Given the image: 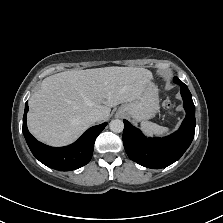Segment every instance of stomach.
<instances>
[{"label": "stomach", "instance_id": "stomach-1", "mask_svg": "<svg viewBox=\"0 0 223 223\" xmlns=\"http://www.w3.org/2000/svg\"><path fill=\"white\" fill-rule=\"evenodd\" d=\"M159 110V98L157 86L150 82L146 85L139 98L121 105L117 115L131 117L135 121H145L155 116Z\"/></svg>", "mask_w": 223, "mask_h": 223}]
</instances>
